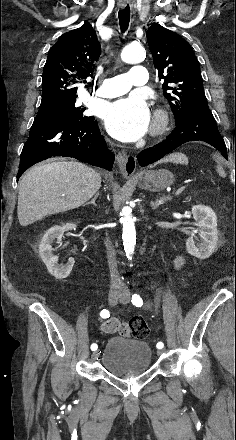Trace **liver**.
I'll use <instances>...</instances> for the list:
<instances>
[{
  "mask_svg": "<svg viewBox=\"0 0 236 440\" xmlns=\"http://www.w3.org/2000/svg\"><path fill=\"white\" fill-rule=\"evenodd\" d=\"M165 161L187 163V158L182 154H172ZM100 187V174L76 161L35 166L19 183V223L25 227L48 215L78 208L91 199Z\"/></svg>",
  "mask_w": 236,
  "mask_h": 440,
  "instance_id": "liver-1",
  "label": "liver"
}]
</instances>
